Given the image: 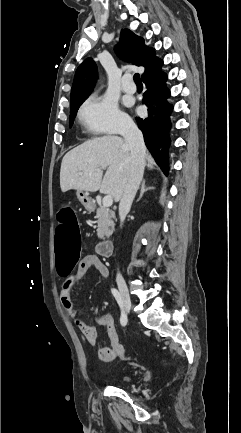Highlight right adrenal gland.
<instances>
[{
  "mask_svg": "<svg viewBox=\"0 0 241 433\" xmlns=\"http://www.w3.org/2000/svg\"><path fill=\"white\" fill-rule=\"evenodd\" d=\"M152 189H155V187H153V186L146 187V180H143L142 184H141V189H140V196L137 199V202L142 198V196L145 192H147L148 190H152Z\"/></svg>",
  "mask_w": 241,
  "mask_h": 433,
  "instance_id": "obj_1",
  "label": "right adrenal gland"
}]
</instances>
